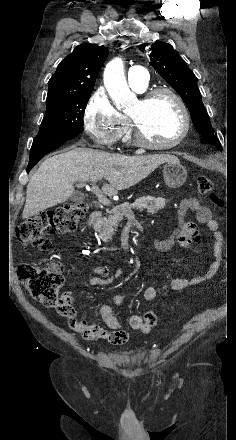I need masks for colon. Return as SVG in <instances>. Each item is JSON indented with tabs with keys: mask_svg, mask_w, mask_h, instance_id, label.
Segmentation results:
<instances>
[{
	"mask_svg": "<svg viewBox=\"0 0 236 440\" xmlns=\"http://www.w3.org/2000/svg\"><path fill=\"white\" fill-rule=\"evenodd\" d=\"M212 188L209 178L201 176L197 179L198 192L210 194L213 202L222 206V199L212 192ZM86 211V203L77 201L64 204L55 210L40 212L18 225L17 238L25 246L42 251L49 250L52 246L50 236L75 232ZM17 277L34 299L45 306L55 308L61 315L65 314L68 302L59 294L64 279L56 264L40 267L32 263H20L17 266ZM144 324H150L151 328L156 326V315L147 312Z\"/></svg>",
	"mask_w": 236,
	"mask_h": 440,
	"instance_id": "5ec220e1",
	"label": "colon"
}]
</instances>
